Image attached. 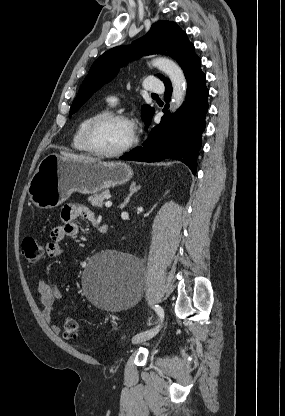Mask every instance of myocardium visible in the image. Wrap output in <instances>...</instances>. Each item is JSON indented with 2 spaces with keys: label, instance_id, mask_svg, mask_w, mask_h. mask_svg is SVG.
Instances as JSON below:
<instances>
[{
  "label": "myocardium",
  "instance_id": "myocardium-1",
  "mask_svg": "<svg viewBox=\"0 0 285 416\" xmlns=\"http://www.w3.org/2000/svg\"><path fill=\"white\" fill-rule=\"evenodd\" d=\"M108 120H118L121 121L123 123H125L126 125H128L129 129H130V137L129 140L127 141V143L120 149L117 150H104L101 148H98L92 139V132L94 130V128L99 125L100 123L104 122V121H108ZM83 142L87 148V150L96 155V156H102V157H119L122 156L123 154H125L126 152H128L134 142H135V137H134V133H133V129H132V124L130 122V120L123 114L118 113V112H102L94 117H92L88 123L86 124L84 131H83Z\"/></svg>",
  "mask_w": 285,
  "mask_h": 416
}]
</instances>
